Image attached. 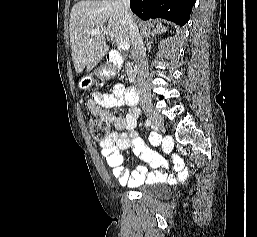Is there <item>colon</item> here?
<instances>
[{
	"instance_id": "colon-1",
	"label": "colon",
	"mask_w": 257,
	"mask_h": 237,
	"mask_svg": "<svg viewBox=\"0 0 257 237\" xmlns=\"http://www.w3.org/2000/svg\"><path fill=\"white\" fill-rule=\"evenodd\" d=\"M89 128L92 137L97 141H105L109 137V123L103 119L93 118L89 121Z\"/></svg>"
}]
</instances>
